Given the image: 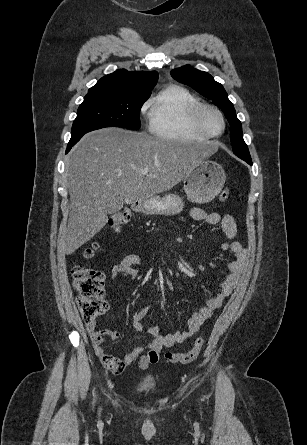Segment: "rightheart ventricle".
Instances as JSON below:
<instances>
[{"mask_svg": "<svg viewBox=\"0 0 307 445\" xmlns=\"http://www.w3.org/2000/svg\"><path fill=\"white\" fill-rule=\"evenodd\" d=\"M151 105L150 131L163 139L206 140L196 122L198 101L185 89L167 87L157 89L147 98Z\"/></svg>", "mask_w": 307, "mask_h": 445, "instance_id": "1", "label": "right heart ventricle"}]
</instances>
